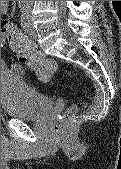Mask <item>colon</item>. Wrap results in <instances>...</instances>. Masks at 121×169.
<instances>
[{
	"instance_id": "5ec220e1",
	"label": "colon",
	"mask_w": 121,
	"mask_h": 169,
	"mask_svg": "<svg viewBox=\"0 0 121 169\" xmlns=\"http://www.w3.org/2000/svg\"><path fill=\"white\" fill-rule=\"evenodd\" d=\"M5 39L8 48L16 55L18 61L32 70L40 81L49 82L53 79L57 71L56 62L38 52L24 34L16 28H10L5 32ZM74 114L75 110L71 108L64 119L55 123L53 137L57 141L65 142L71 136Z\"/></svg>"
}]
</instances>
